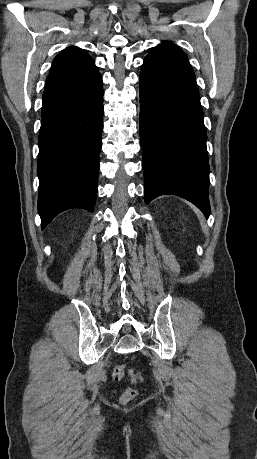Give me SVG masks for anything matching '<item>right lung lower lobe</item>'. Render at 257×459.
<instances>
[{"label": "right lung lower lobe", "mask_w": 257, "mask_h": 459, "mask_svg": "<svg viewBox=\"0 0 257 459\" xmlns=\"http://www.w3.org/2000/svg\"><path fill=\"white\" fill-rule=\"evenodd\" d=\"M41 117L38 213L44 229L65 210L94 211L103 129L101 75L46 89Z\"/></svg>", "instance_id": "1"}]
</instances>
